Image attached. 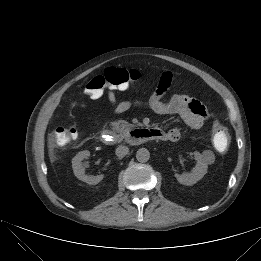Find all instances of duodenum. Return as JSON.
Segmentation results:
<instances>
[{"mask_svg":"<svg viewBox=\"0 0 261 261\" xmlns=\"http://www.w3.org/2000/svg\"><path fill=\"white\" fill-rule=\"evenodd\" d=\"M100 137L104 144H113L118 139V135L110 128L102 130ZM160 138L161 134L157 130L140 128L130 130L126 141L130 144L137 145Z\"/></svg>","mask_w":261,"mask_h":261,"instance_id":"duodenum-1","label":"duodenum"}]
</instances>
